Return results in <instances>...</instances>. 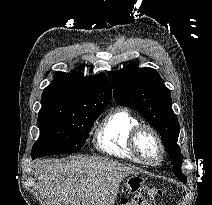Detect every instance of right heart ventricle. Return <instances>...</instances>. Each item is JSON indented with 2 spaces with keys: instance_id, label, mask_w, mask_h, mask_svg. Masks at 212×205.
<instances>
[{
  "instance_id": "obj_1",
  "label": "right heart ventricle",
  "mask_w": 212,
  "mask_h": 205,
  "mask_svg": "<svg viewBox=\"0 0 212 205\" xmlns=\"http://www.w3.org/2000/svg\"><path fill=\"white\" fill-rule=\"evenodd\" d=\"M139 126L138 119L127 109L108 113L97 126L94 144L97 149L118 158L140 161L130 148V135Z\"/></svg>"
}]
</instances>
